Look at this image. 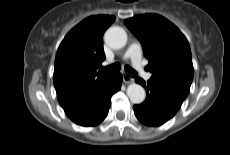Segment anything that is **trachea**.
Masks as SVG:
<instances>
[{
    "mask_svg": "<svg viewBox=\"0 0 230 155\" xmlns=\"http://www.w3.org/2000/svg\"><path fill=\"white\" fill-rule=\"evenodd\" d=\"M121 69V65L119 63H114L110 66H107L105 68H102L103 71H111V72H119ZM124 70L126 72V74L130 77H135L137 76V72L135 70H133L130 66L126 65L124 67Z\"/></svg>",
    "mask_w": 230,
    "mask_h": 155,
    "instance_id": "3493384b",
    "label": "trachea"
}]
</instances>
